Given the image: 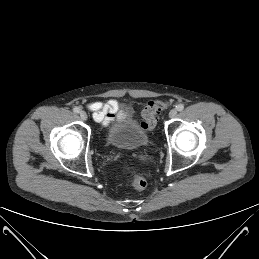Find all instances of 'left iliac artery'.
<instances>
[{
    "instance_id": "1",
    "label": "left iliac artery",
    "mask_w": 259,
    "mask_h": 259,
    "mask_svg": "<svg viewBox=\"0 0 259 259\" xmlns=\"http://www.w3.org/2000/svg\"><path fill=\"white\" fill-rule=\"evenodd\" d=\"M176 108H177L178 111H182L184 109V105L183 104H178L176 106Z\"/></svg>"
}]
</instances>
